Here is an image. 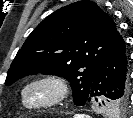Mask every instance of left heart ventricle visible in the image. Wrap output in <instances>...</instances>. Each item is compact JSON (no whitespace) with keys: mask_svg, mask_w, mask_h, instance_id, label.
<instances>
[{"mask_svg":"<svg viewBox=\"0 0 133 118\" xmlns=\"http://www.w3.org/2000/svg\"><path fill=\"white\" fill-rule=\"evenodd\" d=\"M50 91L44 86H33L26 92V101L29 104H35L47 99Z\"/></svg>","mask_w":133,"mask_h":118,"instance_id":"left-heart-ventricle-1","label":"left heart ventricle"}]
</instances>
